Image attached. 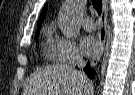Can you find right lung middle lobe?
<instances>
[{
	"instance_id": "1",
	"label": "right lung middle lobe",
	"mask_w": 135,
	"mask_h": 95,
	"mask_svg": "<svg viewBox=\"0 0 135 95\" xmlns=\"http://www.w3.org/2000/svg\"><path fill=\"white\" fill-rule=\"evenodd\" d=\"M38 34H39V32H38V33H36V38L38 37Z\"/></svg>"
}]
</instances>
